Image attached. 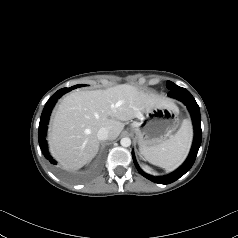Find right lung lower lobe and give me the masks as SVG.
Returning <instances> with one entry per match:
<instances>
[{"mask_svg":"<svg viewBox=\"0 0 238 238\" xmlns=\"http://www.w3.org/2000/svg\"><path fill=\"white\" fill-rule=\"evenodd\" d=\"M78 88L76 85L70 88H62L58 90L46 103L43 112L41 114L40 123H39V134H38V140L40 148L43 151L44 156L50 161L51 164L56 165V161L53 160V158L49 155L47 144L45 140L46 136V130H47V124L50 112L56 103V101L65 93L71 91L72 89Z\"/></svg>","mask_w":238,"mask_h":238,"instance_id":"1","label":"right lung lower lobe"}]
</instances>
